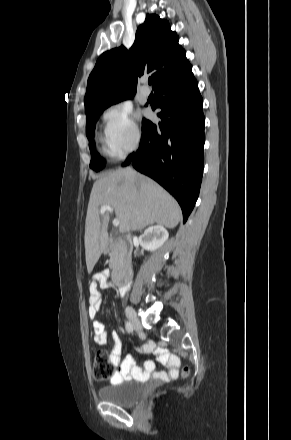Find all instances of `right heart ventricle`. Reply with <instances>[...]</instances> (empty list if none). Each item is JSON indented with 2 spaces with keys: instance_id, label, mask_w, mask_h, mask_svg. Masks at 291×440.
<instances>
[{
  "instance_id": "obj_1",
  "label": "right heart ventricle",
  "mask_w": 291,
  "mask_h": 440,
  "mask_svg": "<svg viewBox=\"0 0 291 440\" xmlns=\"http://www.w3.org/2000/svg\"><path fill=\"white\" fill-rule=\"evenodd\" d=\"M100 142H101V153H102L103 155H110L111 153H110V150L108 149V147H107V145H106L105 140H104V139H103V140L101 139Z\"/></svg>"
}]
</instances>
